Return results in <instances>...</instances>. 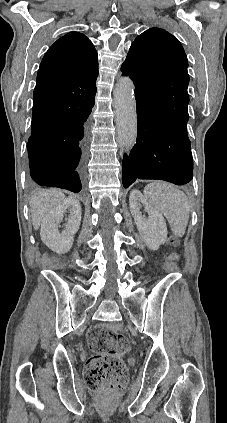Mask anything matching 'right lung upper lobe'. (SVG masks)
I'll return each instance as SVG.
<instances>
[{
    "label": "right lung upper lobe",
    "mask_w": 227,
    "mask_h": 423,
    "mask_svg": "<svg viewBox=\"0 0 227 423\" xmlns=\"http://www.w3.org/2000/svg\"><path fill=\"white\" fill-rule=\"evenodd\" d=\"M98 76L97 52L90 40L71 32L58 39L46 52L37 75L34 99L65 101L78 96H95ZM49 124L31 126L40 135Z\"/></svg>",
    "instance_id": "1"
}]
</instances>
